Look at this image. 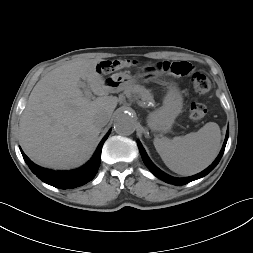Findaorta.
<instances>
[{
    "label": "aorta",
    "mask_w": 253,
    "mask_h": 253,
    "mask_svg": "<svg viewBox=\"0 0 253 253\" xmlns=\"http://www.w3.org/2000/svg\"><path fill=\"white\" fill-rule=\"evenodd\" d=\"M136 119L128 111L117 114L114 121V130L120 135H130L135 131Z\"/></svg>",
    "instance_id": "1"
}]
</instances>
